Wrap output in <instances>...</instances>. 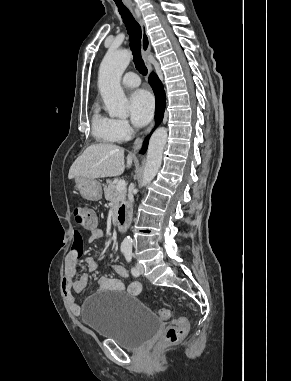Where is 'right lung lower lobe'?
Instances as JSON below:
<instances>
[{
    "instance_id": "98d812e1",
    "label": "right lung lower lobe",
    "mask_w": 291,
    "mask_h": 381,
    "mask_svg": "<svg viewBox=\"0 0 291 381\" xmlns=\"http://www.w3.org/2000/svg\"><path fill=\"white\" fill-rule=\"evenodd\" d=\"M149 83L151 84L155 97H156V110H155V118H156V126L163 119L164 109H165V93L163 89V85L155 74H151L149 78ZM150 136V135H149ZM149 136L144 141V145L142 148V153H145L147 149Z\"/></svg>"
}]
</instances>
